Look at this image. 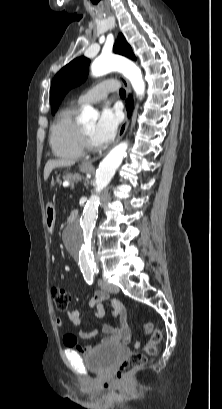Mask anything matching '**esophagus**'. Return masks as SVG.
Instances as JSON below:
<instances>
[{"mask_svg":"<svg viewBox=\"0 0 222 409\" xmlns=\"http://www.w3.org/2000/svg\"><path fill=\"white\" fill-rule=\"evenodd\" d=\"M118 78L121 81V83L123 84V86H124V88H125V90L127 92V95L129 96L130 93H131V86H130L128 80L125 79L122 75H118ZM128 125H129V118L126 115V118H125V120L123 121V123L121 124V126L119 128L116 140L114 141L112 146L116 145L122 139V137L124 136V134H125V132H126V130L128 128ZM101 156H102V154H100V155H98V156H96V157H94L92 159H87V160H85L83 162V165L86 166V167L92 168L93 167V162L98 160Z\"/></svg>","mask_w":222,"mask_h":409,"instance_id":"obj_1","label":"esophagus"}]
</instances>
